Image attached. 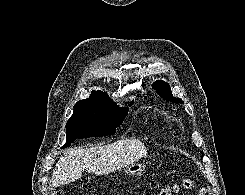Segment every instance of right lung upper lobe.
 <instances>
[{"mask_svg":"<svg viewBox=\"0 0 245 195\" xmlns=\"http://www.w3.org/2000/svg\"><path fill=\"white\" fill-rule=\"evenodd\" d=\"M86 100H94V101H101V102H108V103H114L106 93H103L101 91H92L91 95ZM116 104V103H115Z\"/></svg>","mask_w":245,"mask_h":195,"instance_id":"right-lung-upper-lobe-1","label":"right lung upper lobe"}]
</instances>
